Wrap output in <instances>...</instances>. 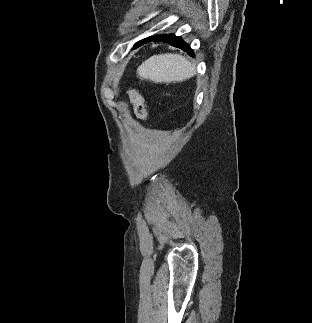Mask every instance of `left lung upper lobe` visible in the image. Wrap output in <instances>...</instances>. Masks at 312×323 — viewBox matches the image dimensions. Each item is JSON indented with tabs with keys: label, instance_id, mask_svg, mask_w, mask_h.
<instances>
[{
	"label": "left lung upper lobe",
	"instance_id": "5c2ea615",
	"mask_svg": "<svg viewBox=\"0 0 312 323\" xmlns=\"http://www.w3.org/2000/svg\"><path fill=\"white\" fill-rule=\"evenodd\" d=\"M141 42H142V41H140V42L136 43L134 47L138 46Z\"/></svg>",
	"mask_w": 312,
	"mask_h": 323
}]
</instances>
